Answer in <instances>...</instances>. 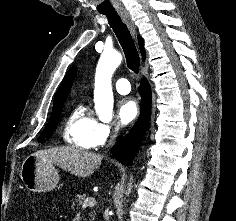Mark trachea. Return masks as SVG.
Wrapping results in <instances>:
<instances>
[{"label": "trachea", "mask_w": 236, "mask_h": 221, "mask_svg": "<svg viewBox=\"0 0 236 221\" xmlns=\"http://www.w3.org/2000/svg\"><path fill=\"white\" fill-rule=\"evenodd\" d=\"M102 14L107 16L109 24L115 32V35L123 48L127 67L135 74H138L140 67V58L127 26L123 23L116 11L103 12Z\"/></svg>", "instance_id": "trachea-1"}]
</instances>
